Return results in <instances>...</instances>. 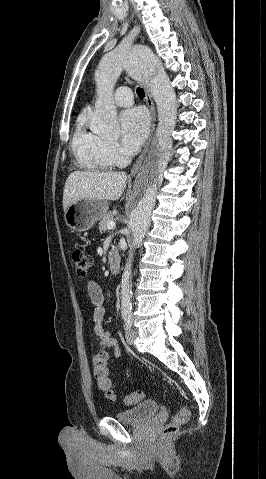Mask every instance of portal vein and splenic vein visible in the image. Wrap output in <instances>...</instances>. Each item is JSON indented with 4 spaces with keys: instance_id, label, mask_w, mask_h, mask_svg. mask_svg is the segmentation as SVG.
Here are the masks:
<instances>
[{
    "instance_id": "18ae733b",
    "label": "portal vein and splenic vein",
    "mask_w": 266,
    "mask_h": 479,
    "mask_svg": "<svg viewBox=\"0 0 266 479\" xmlns=\"http://www.w3.org/2000/svg\"><path fill=\"white\" fill-rule=\"evenodd\" d=\"M114 227H115V222L114 221L108 222L107 229H113Z\"/></svg>"
}]
</instances>
